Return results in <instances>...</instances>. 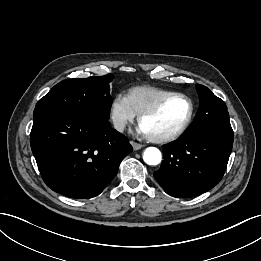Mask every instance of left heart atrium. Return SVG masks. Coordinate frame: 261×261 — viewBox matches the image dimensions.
<instances>
[{
    "instance_id": "39dd6f15",
    "label": "left heart atrium",
    "mask_w": 261,
    "mask_h": 261,
    "mask_svg": "<svg viewBox=\"0 0 261 261\" xmlns=\"http://www.w3.org/2000/svg\"><path fill=\"white\" fill-rule=\"evenodd\" d=\"M138 131H139L140 133H142V134H146V135H147L145 129H144L141 125L139 126Z\"/></svg>"
}]
</instances>
